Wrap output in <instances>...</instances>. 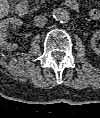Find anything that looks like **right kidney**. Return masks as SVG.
Instances as JSON below:
<instances>
[{"instance_id": "ca27d5eb", "label": "right kidney", "mask_w": 100, "mask_h": 118, "mask_svg": "<svg viewBox=\"0 0 100 118\" xmlns=\"http://www.w3.org/2000/svg\"><path fill=\"white\" fill-rule=\"evenodd\" d=\"M11 25L20 26L22 25V21L16 17L6 18L0 21V48L2 50L13 51L18 47L17 44L8 43L6 41L7 37L9 36L8 28Z\"/></svg>"}]
</instances>
